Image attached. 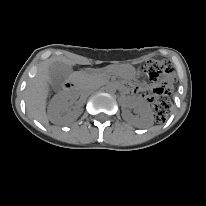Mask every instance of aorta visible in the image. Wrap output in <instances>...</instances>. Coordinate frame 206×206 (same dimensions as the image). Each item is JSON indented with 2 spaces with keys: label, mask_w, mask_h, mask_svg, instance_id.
<instances>
[{
  "label": "aorta",
  "mask_w": 206,
  "mask_h": 206,
  "mask_svg": "<svg viewBox=\"0 0 206 206\" xmlns=\"http://www.w3.org/2000/svg\"><path fill=\"white\" fill-rule=\"evenodd\" d=\"M105 89L110 94H114L116 92V86L114 84H107Z\"/></svg>",
  "instance_id": "obj_1"
}]
</instances>
